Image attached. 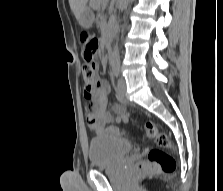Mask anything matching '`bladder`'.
<instances>
[{"label":"bladder","mask_w":223,"mask_h":191,"mask_svg":"<svg viewBox=\"0 0 223 191\" xmlns=\"http://www.w3.org/2000/svg\"><path fill=\"white\" fill-rule=\"evenodd\" d=\"M132 148L128 140L118 136L94 137L88 145L90 165L95 168L116 165L130 154Z\"/></svg>","instance_id":"1"}]
</instances>
